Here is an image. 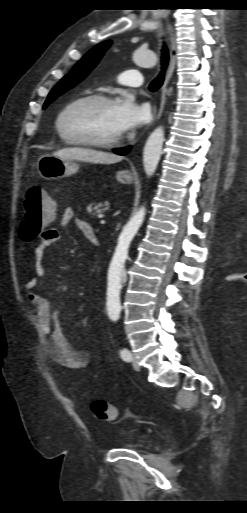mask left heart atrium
<instances>
[{
    "label": "left heart atrium",
    "mask_w": 247,
    "mask_h": 513,
    "mask_svg": "<svg viewBox=\"0 0 247 513\" xmlns=\"http://www.w3.org/2000/svg\"><path fill=\"white\" fill-rule=\"evenodd\" d=\"M149 111L143 104H138L133 97L127 96L116 104V120L121 133L136 129L144 124Z\"/></svg>",
    "instance_id": "left-heart-atrium-1"
}]
</instances>
